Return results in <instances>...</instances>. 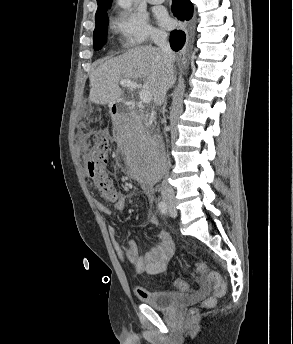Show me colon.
Masks as SVG:
<instances>
[{
    "mask_svg": "<svg viewBox=\"0 0 293 344\" xmlns=\"http://www.w3.org/2000/svg\"><path fill=\"white\" fill-rule=\"evenodd\" d=\"M109 150V140L107 138L100 139L89 153L86 164L89 177L99 190L101 196L107 200L116 201L119 198V194L114 184V180L107 172ZM193 273L214 284L212 295L203 302V307H213L217 299L226 293L227 286L225 282L219 274L215 272H207L205 263H196L193 266ZM183 284L184 282L182 280L176 281V285L178 287H182Z\"/></svg>",
    "mask_w": 293,
    "mask_h": 344,
    "instance_id": "5ec220e1",
    "label": "colon"
}]
</instances>
